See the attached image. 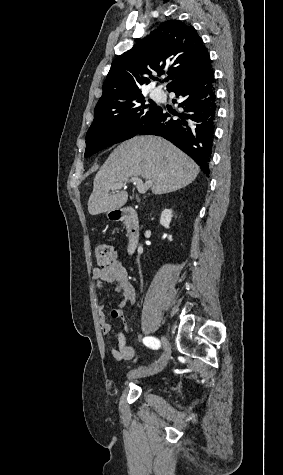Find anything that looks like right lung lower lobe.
<instances>
[{
  "label": "right lung lower lobe",
  "instance_id": "98d812e1",
  "mask_svg": "<svg viewBox=\"0 0 283 475\" xmlns=\"http://www.w3.org/2000/svg\"><path fill=\"white\" fill-rule=\"evenodd\" d=\"M178 97L181 110L160 107L157 114L145 123L138 134L162 136L188 154L209 175V164L214 138L217 98L214 72L210 70L185 79L171 89Z\"/></svg>",
  "mask_w": 283,
  "mask_h": 475
}]
</instances>
